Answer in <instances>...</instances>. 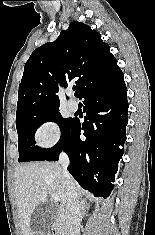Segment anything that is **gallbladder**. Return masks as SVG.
<instances>
[{"mask_svg": "<svg viewBox=\"0 0 155 235\" xmlns=\"http://www.w3.org/2000/svg\"><path fill=\"white\" fill-rule=\"evenodd\" d=\"M58 207L51 202L39 204L31 217V229L36 234L47 233L57 218Z\"/></svg>", "mask_w": 155, "mask_h": 235, "instance_id": "1", "label": "gallbladder"}]
</instances>
